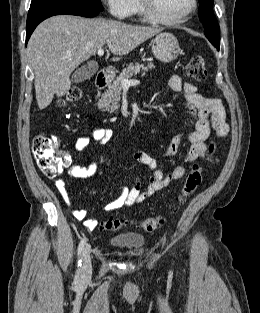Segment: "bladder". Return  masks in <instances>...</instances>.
I'll return each instance as SVG.
<instances>
[{"label": "bladder", "mask_w": 260, "mask_h": 313, "mask_svg": "<svg viewBox=\"0 0 260 313\" xmlns=\"http://www.w3.org/2000/svg\"><path fill=\"white\" fill-rule=\"evenodd\" d=\"M145 238L140 234H124L110 239V244L117 248H140L144 245Z\"/></svg>", "instance_id": "obj_1"}]
</instances>
